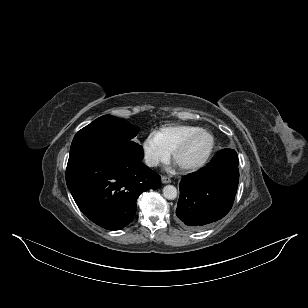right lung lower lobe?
I'll return each instance as SVG.
<instances>
[{"label": "right lung lower lobe", "mask_w": 308, "mask_h": 308, "mask_svg": "<svg viewBox=\"0 0 308 308\" xmlns=\"http://www.w3.org/2000/svg\"><path fill=\"white\" fill-rule=\"evenodd\" d=\"M67 186L79 209L94 223L118 230L136 213L138 196L158 189L161 179L140 159L111 153L69 157Z\"/></svg>", "instance_id": "right-lung-lower-lobe-1"}]
</instances>
